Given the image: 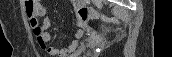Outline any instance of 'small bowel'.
I'll return each instance as SVG.
<instances>
[{
    "instance_id": "c3829d8e",
    "label": "small bowel",
    "mask_w": 172,
    "mask_h": 57,
    "mask_svg": "<svg viewBox=\"0 0 172 57\" xmlns=\"http://www.w3.org/2000/svg\"><path fill=\"white\" fill-rule=\"evenodd\" d=\"M75 6L78 7L80 4L75 3ZM25 13L37 44L47 54L57 57H67L83 50L80 44V39L83 36L81 28L75 31L74 39L67 47L55 48L49 44L51 36L48 30L51 27V20L47 16L46 8L40 0L25 1ZM40 18H42L41 22ZM78 25L80 26L81 23H78Z\"/></svg>"
}]
</instances>
